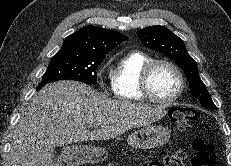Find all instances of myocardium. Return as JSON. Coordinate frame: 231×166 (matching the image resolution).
Segmentation results:
<instances>
[{"mask_svg": "<svg viewBox=\"0 0 231 166\" xmlns=\"http://www.w3.org/2000/svg\"><path fill=\"white\" fill-rule=\"evenodd\" d=\"M158 65H166L170 67L177 75L178 81H179V87L176 93L168 98V99H160L156 97L151 90L150 87V77L155 69L156 66ZM185 76L182 72V70L172 61L168 59H153L150 62H148L144 68L142 69L141 76H140V90L142 95L144 96L145 99L159 104V105H170L174 103L179 97L182 95L185 89Z\"/></svg>", "mask_w": 231, "mask_h": 166, "instance_id": "1", "label": "myocardium"}]
</instances>
